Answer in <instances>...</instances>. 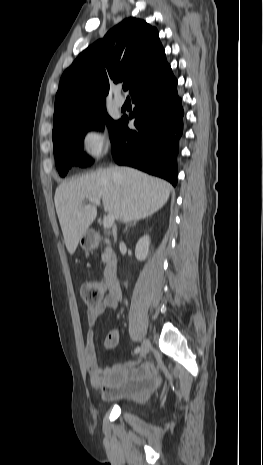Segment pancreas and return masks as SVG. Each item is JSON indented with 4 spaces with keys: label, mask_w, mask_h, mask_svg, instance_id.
Instances as JSON below:
<instances>
[{
    "label": "pancreas",
    "mask_w": 263,
    "mask_h": 465,
    "mask_svg": "<svg viewBox=\"0 0 263 465\" xmlns=\"http://www.w3.org/2000/svg\"><path fill=\"white\" fill-rule=\"evenodd\" d=\"M107 247L105 248V252L102 255L103 262L108 263L111 259L112 249L110 247V243L106 240Z\"/></svg>",
    "instance_id": "cf45deb5"
}]
</instances>
